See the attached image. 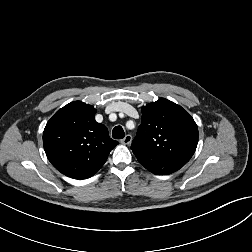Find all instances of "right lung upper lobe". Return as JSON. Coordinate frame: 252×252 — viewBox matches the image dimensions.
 I'll return each mask as SVG.
<instances>
[{"instance_id": "1", "label": "right lung upper lobe", "mask_w": 252, "mask_h": 252, "mask_svg": "<svg viewBox=\"0 0 252 252\" xmlns=\"http://www.w3.org/2000/svg\"><path fill=\"white\" fill-rule=\"evenodd\" d=\"M96 109L74 101L47 122L43 144L47 158L62 174L74 179L93 176L118 144L106 126L95 121Z\"/></svg>"}]
</instances>
